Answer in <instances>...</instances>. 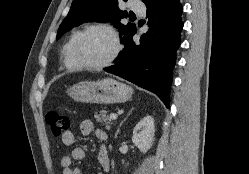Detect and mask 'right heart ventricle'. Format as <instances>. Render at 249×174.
Returning a JSON list of instances; mask_svg holds the SVG:
<instances>
[{
    "mask_svg": "<svg viewBox=\"0 0 249 174\" xmlns=\"http://www.w3.org/2000/svg\"><path fill=\"white\" fill-rule=\"evenodd\" d=\"M80 32H81L80 30H76L75 32L72 33V35L70 36L63 50V62H64L65 67L69 70L79 69V66L74 60V57L72 54V48H73L75 39L77 38Z\"/></svg>",
    "mask_w": 249,
    "mask_h": 174,
    "instance_id": "1",
    "label": "right heart ventricle"
}]
</instances>
